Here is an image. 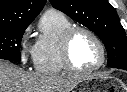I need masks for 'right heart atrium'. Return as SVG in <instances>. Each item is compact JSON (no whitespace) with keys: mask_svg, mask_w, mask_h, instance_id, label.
<instances>
[{"mask_svg":"<svg viewBox=\"0 0 127 92\" xmlns=\"http://www.w3.org/2000/svg\"><path fill=\"white\" fill-rule=\"evenodd\" d=\"M31 27L27 28L19 43V56L22 64L34 61L35 46L30 42Z\"/></svg>","mask_w":127,"mask_h":92,"instance_id":"right-heart-atrium-1","label":"right heart atrium"}]
</instances>
